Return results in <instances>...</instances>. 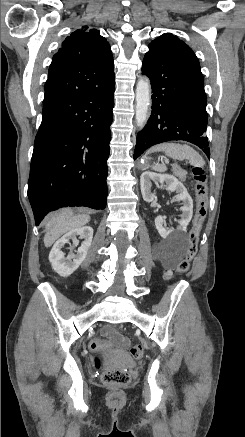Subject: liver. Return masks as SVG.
<instances>
[{
  "label": "liver",
  "mask_w": 245,
  "mask_h": 437,
  "mask_svg": "<svg viewBox=\"0 0 245 437\" xmlns=\"http://www.w3.org/2000/svg\"><path fill=\"white\" fill-rule=\"evenodd\" d=\"M89 221L90 216L88 214L74 215L69 209L62 210L47 223L44 245L50 247L60 236L71 230L83 227Z\"/></svg>",
  "instance_id": "6515ba94"
}]
</instances>
